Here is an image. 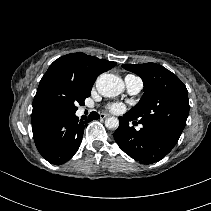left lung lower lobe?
<instances>
[{"label": "left lung lower lobe", "mask_w": 211, "mask_h": 211, "mask_svg": "<svg viewBox=\"0 0 211 211\" xmlns=\"http://www.w3.org/2000/svg\"><path fill=\"white\" fill-rule=\"evenodd\" d=\"M134 119L128 114L119 117V127L114 133L118 146L130 157L142 164H152L163 159L179 138L161 128L143 125L139 131L129 126ZM135 122V121H134Z\"/></svg>", "instance_id": "0a47b994"}]
</instances>
